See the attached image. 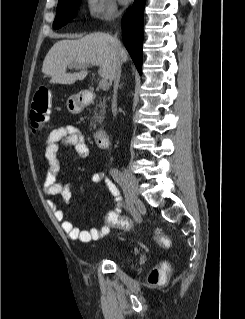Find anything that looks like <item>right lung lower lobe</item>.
I'll use <instances>...</instances> for the list:
<instances>
[{"mask_svg": "<svg viewBox=\"0 0 245 319\" xmlns=\"http://www.w3.org/2000/svg\"><path fill=\"white\" fill-rule=\"evenodd\" d=\"M146 0H135L122 18L123 43L138 72H142L143 17Z\"/></svg>", "mask_w": 245, "mask_h": 319, "instance_id": "98d812e1", "label": "right lung lower lobe"}]
</instances>
